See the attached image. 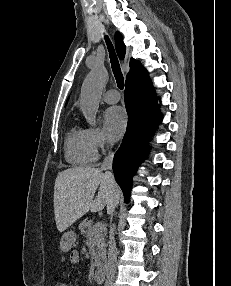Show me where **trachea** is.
<instances>
[{
    "label": "trachea",
    "mask_w": 231,
    "mask_h": 286,
    "mask_svg": "<svg viewBox=\"0 0 231 286\" xmlns=\"http://www.w3.org/2000/svg\"><path fill=\"white\" fill-rule=\"evenodd\" d=\"M105 41H106L107 48H108V51H109L110 62H111L113 74H114L116 82H117V86H118L119 89L123 90L124 79H123V75H122V72H121L120 64H119L118 58L116 56L114 47H113L110 39L108 38V36H105Z\"/></svg>",
    "instance_id": "obj_1"
}]
</instances>
